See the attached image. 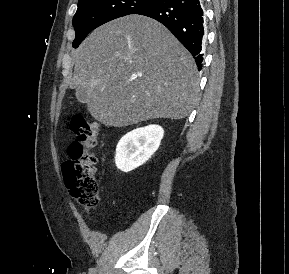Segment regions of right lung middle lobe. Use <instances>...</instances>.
I'll return each instance as SVG.
<instances>
[{"mask_svg":"<svg viewBox=\"0 0 289 274\" xmlns=\"http://www.w3.org/2000/svg\"><path fill=\"white\" fill-rule=\"evenodd\" d=\"M157 0H79L73 18L76 37L73 47L84 40L86 35L98 26L113 19L133 14Z\"/></svg>","mask_w":289,"mask_h":274,"instance_id":"right-lung-middle-lobe-1","label":"right lung middle lobe"}]
</instances>
